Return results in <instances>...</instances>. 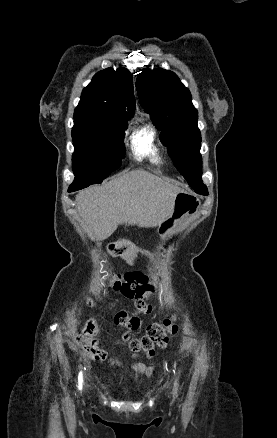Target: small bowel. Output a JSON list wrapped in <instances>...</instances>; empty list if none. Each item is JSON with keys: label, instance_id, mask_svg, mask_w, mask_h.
I'll use <instances>...</instances> for the list:
<instances>
[{"label": "small bowel", "instance_id": "small-bowel-1", "mask_svg": "<svg viewBox=\"0 0 277 438\" xmlns=\"http://www.w3.org/2000/svg\"><path fill=\"white\" fill-rule=\"evenodd\" d=\"M79 341L80 346L82 347H88L90 346V344L92 346L96 345L97 340L95 339H88V338H82V339H77ZM85 354L87 356H99L98 360L100 362H106L107 361V356L106 354V349L105 348H99V347H92L90 348V350L84 351ZM91 360H95V357H91ZM110 363L118 368V369H122L123 368V363L119 360L116 359H109ZM106 365H109V362H106ZM159 367V364L157 362H153L150 365H145L143 363H136L134 365H132L131 370L133 374H141L143 376H145L146 378H150L152 376V374L154 373V371ZM109 374H112V371H109Z\"/></svg>", "mask_w": 277, "mask_h": 438}]
</instances>
